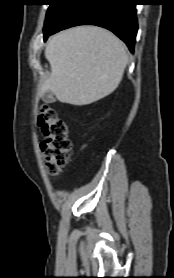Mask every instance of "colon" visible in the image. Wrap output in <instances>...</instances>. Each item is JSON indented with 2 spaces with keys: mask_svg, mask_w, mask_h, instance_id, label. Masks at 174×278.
<instances>
[{
  "mask_svg": "<svg viewBox=\"0 0 174 278\" xmlns=\"http://www.w3.org/2000/svg\"><path fill=\"white\" fill-rule=\"evenodd\" d=\"M37 124L45 136L41 149L48 172L57 175L61 167L68 162L71 149L66 123L52 107L42 105L38 111Z\"/></svg>",
  "mask_w": 174,
  "mask_h": 278,
  "instance_id": "5ec220e1",
  "label": "colon"
}]
</instances>
